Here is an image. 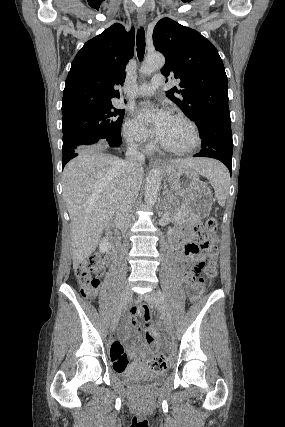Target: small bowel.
Here are the masks:
<instances>
[{"instance_id":"obj_1","label":"small bowel","mask_w":285,"mask_h":427,"mask_svg":"<svg viewBox=\"0 0 285 427\" xmlns=\"http://www.w3.org/2000/svg\"><path fill=\"white\" fill-rule=\"evenodd\" d=\"M186 230H187L186 227L178 226L170 232L171 242L176 253V259L182 263L185 262L184 236H185ZM143 313L147 315L149 311L144 310ZM124 322L127 327L134 329L136 340L134 341V346L128 352L124 350L123 344L129 342L131 338L130 336L122 337L119 340H112L111 362L113 364V367L116 370H121L123 368L122 364L125 362L127 363L129 359H132L133 361H136V362H144L147 359H149L150 356L152 355V352L148 350V348L146 347V344L142 342L140 338L141 331L138 325V320L136 315L134 313L128 314L125 317ZM146 326H147L148 340H151L156 335V333L149 319H146Z\"/></svg>"}]
</instances>
